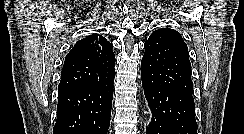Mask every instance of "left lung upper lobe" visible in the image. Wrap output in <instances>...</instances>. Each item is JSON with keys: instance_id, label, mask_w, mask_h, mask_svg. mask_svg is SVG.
<instances>
[{"instance_id": "left-lung-upper-lobe-1", "label": "left lung upper lobe", "mask_w": 244, "mask_h": 134, "mask_svg": "<svg viewBox=\"0 0 244 134\" xmlns=\"http://www.w3.org/2000/svg\"><path fill=\"white\" fill-rule=\"evenodd\" d=\"M144 48L142 70L156 85L192 92L188 48L179 32L170 28L157 29Z\"/></svg>"}]
</instances>
